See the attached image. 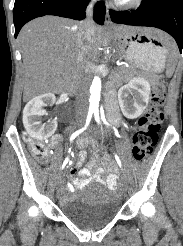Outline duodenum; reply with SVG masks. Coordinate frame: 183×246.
<instances>
[{
    "instance_id": "duodenum-1",
    "label": "duodenum",
    "mask_w": 183,
    "mask_h": 246,
    "mask_svg": "<svg viewBox=\"0 0 183 246\" xmlns=\"http://www.w3.org/2000/svg\"><path fill=\"white\" fill-rule=\"evenodd\" d=\"M108 95L110 98L113 95V91L111 88L108 89ZM78 142L79 144H81L82 148H85L86 144H90V148H93L94 151L100 150V147L98 146V140L92 139V136H81Z\"/></svg>"
}]
</instances>
